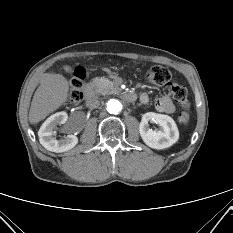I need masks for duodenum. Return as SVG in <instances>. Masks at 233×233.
Masks as SVG:
<instances>
[{"instance_id": "410a0bca", "label": "duodenum", "mask_w": 233, "mask_h": 233, "mask_svg": "<svg viewBox=\"0 0 233 233\" xmlns=\"http://www.w3.org/2000/svg\"><path fill=\"white\" fill-rule=\"evenodd\" d=\"M84 97L89 100L92 99L94 96V88L91 85H86L83 89ZM124 98L128 102H133L137 99V95L133 92H128L124 95Z\"/></svg>"}]
</instances>
